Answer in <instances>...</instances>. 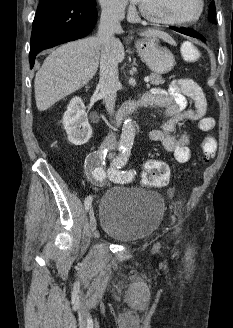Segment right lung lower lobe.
Masks as SVG:
<instances>
[{
  "label": "right lung lower lobe",
  "mask_w": 233,
  "mask_h": 328,
  "mask_svg": "<svg viewBox=\"0 0 233 328\" xmlns=\"http://www.w3.org/2000/svg\"><path fill=\"white\" fill-rule=\"evenodd\" d=\"M95 6L94 0H40L33 21L30 67L40 51L86 36L97 20Z\"/></svg>",
  "instance_id": "obj_1"
}]
</instances>
